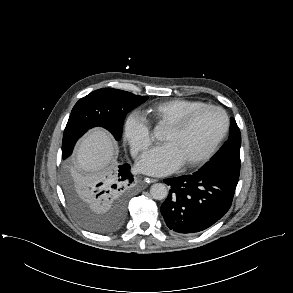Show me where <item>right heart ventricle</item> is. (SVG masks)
Instances as JSON below:
<instances>
[{
    "label": "right heart ventricle",
    "instance_id": "e07e8e85",
    "mask_svg": "<svg viewBox=\"0 0 293 293\" xmlns=\"http://www.w3.org/2000/svg\"><path fill=\"white\" fill-rule=\"evenodd\" d=\"M204 105L206 103L202 101L176 98L151 105L144 114L149 116L154 124L167 128L187 113Z\"/></svg>",
    "mask_w": 293,
    "mask_h": 293
}]
</instances>
